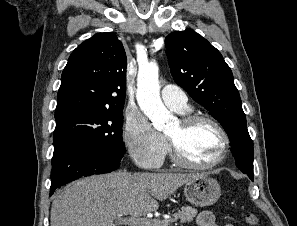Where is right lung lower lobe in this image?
<instances>
[{"instance_id":"1","label":"right lung lower lobe","mask_w":297,"mask_h":226,"mask_svg":"<svg viewBox=\"0 0 297 226\" xmlns=\"http://www.w3.org/2000/svg\"><path fill=\"white\" fill-rule=\"evenodd\" d=\"M123 152L82 141L54 144L50 195L56 188L93 174L109 173L120 166Z\"/></svg>"}]
</instances>
